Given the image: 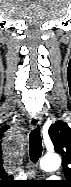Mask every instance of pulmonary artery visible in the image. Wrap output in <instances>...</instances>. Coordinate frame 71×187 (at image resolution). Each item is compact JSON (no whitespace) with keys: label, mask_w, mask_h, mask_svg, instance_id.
<instances>
[{"label":"pulmonary artery","mask_w":71,"mask_h":187,"mask_svg":"<svg viewBox=\"0 0 71 187\" xmlns=\"http://www.w3.org/2000/svg\"><path fill=\"white\" fill-rule=\"evenodd\" d=\"M57 177L56 176H51L50 179H56Z\"/></svg>","instance_id":"e3ab8cb5"}]
</instances>
